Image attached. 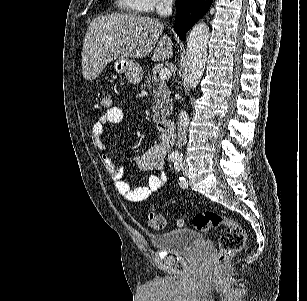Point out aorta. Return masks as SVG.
Instances as JSON below:
<instances>
[{
  "label": "aorta",
  "mask_w": 307,
  "mask_h": 301,
  "mask_svg": "<svg viewBox=\"0 0 307 301\" xmlns=\"http://www.w3.org/2000/svg\"><path fill=\"white\" fill-rule=\"evenodd\" d=\"M209 26L199 22L193 26L187 38V82L195 90L205 70Z\"/></svg>",
  "instance_id": "aorta-1"
}]
</instances>
